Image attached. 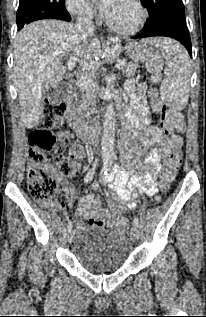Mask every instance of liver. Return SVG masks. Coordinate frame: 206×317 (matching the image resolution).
I'll use <instances>...</instances> for the list:
<instances>
[{
  "mask_svg": "<svg viewBox=\"0 0 206 317\" xmlns=\"http://www.w3.org/2000/svg\"><path fill=\"white\" fill-rule=\"evenodd\" d=\"M101 53L99 40L84 37L72 24L41 20L24 27L15 40L13 66L24 126L31 129L38 125L46 93L59 84L66 73L62 63L66 56L80 57L82 69L90 71L99 66L91 59Z\"/></svg>",
  "mask_w": 206,
  "mask_h": 317,
  "instance_id": "1",
  "label": "liver"
}]
</instances>
